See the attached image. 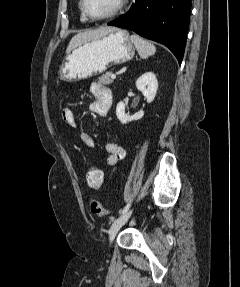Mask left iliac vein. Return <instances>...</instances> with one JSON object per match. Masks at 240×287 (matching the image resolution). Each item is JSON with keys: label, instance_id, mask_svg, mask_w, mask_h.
<instances>
[{"label": "left iliac vein", "instance_id": "obj_1", "mask_svg": "<svg viewBox=\"0 0 240 287\" xmlns=\"http://www.w3.org/2000/svg\"><path fill=\"white\" fill-rule=\"evenodd\" d=\"M131 214H132V210H129V211L125 212L124 214H122L119 218H117L113 222V224H112V226H111V228L109 230V235H110L109 236V241H110V243L113 242L117 232L128 221V219L130 218Z\"/></svg>", "mask_w": 240, "mask_h": 287}]
</instances>
